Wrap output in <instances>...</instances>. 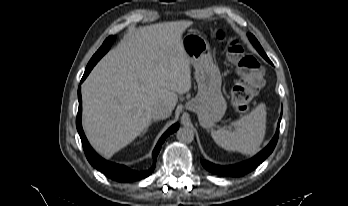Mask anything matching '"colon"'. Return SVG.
Returning a JSON list of instances; mask_svg holds the SVG:
<instances>
[{
  "mask_svg": "<svg viewBox=\"0 0 348 206\" xmlns=\"http://www.w3.org/2000/svg\"><path fill=\"white\" fill-rule=\"evenodd\" d=\"M213 36L228 44V56L238 67L241 77L232 90V103L238 112L246 113L263 85L264 66L255 57L247 55L240 40L225 30H216Z\"/></svg>",
  "mask_w": 348,
  "mask_h": 206,
  "instance_id": "colon-1",
  "label": "colon"
}]
</instances>
